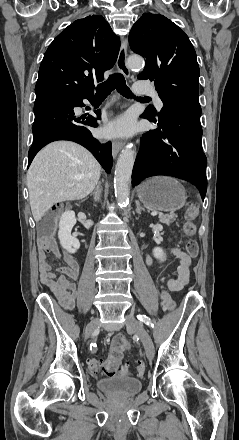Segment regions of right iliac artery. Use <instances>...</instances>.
Listing matches in <instances>:
<instances>
[{"instance_id": "82829eb1", "label": "right iliac artery", "mask_w": 239, "mask_h": 440, "mask_svg": "<svg viewBox=\"0 0 239 440\" xmlns=\"http://www.w3.org/2000/svg\"><path fill=\"white\" fill-rule=\"evenodd\" d=\"M91 350H93V351L95 352V350H96V344H92V345H91Z\"/></svg>"}]
</instances>
